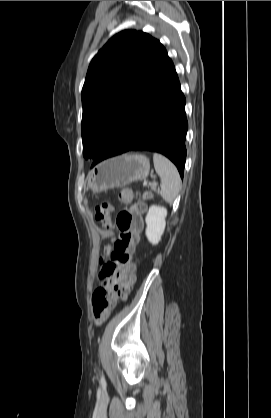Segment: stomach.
<instances>
[{
  "label": "stomach",
  "mask_w": 271,
  "mask_h": 418,
  "mask_svg": "<svg viewBox=\"0 0 271 418\" xmlns=\"http://www.w3.org/2000/svg\"><path fill=\"white\" fill-rule=\"evenodd\" d=\"M149 171L150 162L147 157L141 154H124L96 165L88 174V187L93 193H100L145 180Z\"/></svg>",
  "instance_id": "stomach-1"
}]
</instances>
